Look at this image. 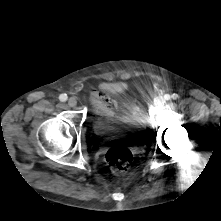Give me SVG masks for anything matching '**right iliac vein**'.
<instances>
[{
	"mask_svg": "<svg viewBox=\"0 0 221 221\" xmlns=\"http://www.w3.org/2000/svg\"><path fill=\"white\" fill-rule=\"evenodd\" d=\"M68 105L71 106V107L76 106V105H77V100H76V98H75V97L69 98V100H68Z\"/></svg>",
	"mask_w": 221,
	"mask_h": 221,
	"instance_id": "obj_1",
	"label": "right iliac vein"
}]
</instances>
